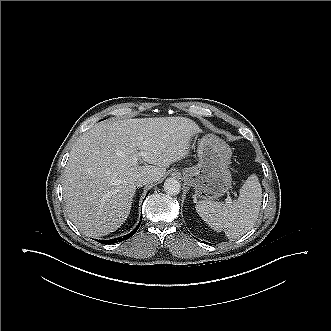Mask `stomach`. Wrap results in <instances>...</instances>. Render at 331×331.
Wrapping results in <instances>:
<instances>
[{"instance_id":"1","label":"stomach","mask_w":331,"mask_h":331,"mask_svg":"<svg viewBox=\"0 0 331 331\" xmlns=\"http://www.w3.org/2000/svg\"><path fill=\"white\" fill-rule=\"evenodd\" d=\"M197 153L199 162L183 170L184 181L194 188L195 197L215 200L224 195L232 185L228 167L231 149L219 137L207 134L199 140Z\"/></svg>"}]
</instances>
